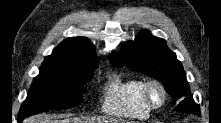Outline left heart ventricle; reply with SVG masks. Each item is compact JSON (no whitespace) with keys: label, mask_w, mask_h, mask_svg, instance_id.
<instances>
[{"label":"left heart ventricle","mask_w":221,"mask_h":123,"mask_svg":"<svg viewBox=\"0 0 221 123\" xmlns=\"http://www.w3.org/2000/svg\"><path fill=\"white\" fill-rule=\"evenodd\" d=\"M153 97H154L155 100L159 101L161 96H160V93L155 90L153 92Z\"/></svg>","instance_id":"left-heart-ventricle-1"}]
</instances>
